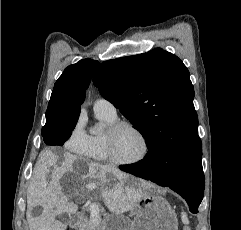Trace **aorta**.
I'll return each mask as SVG.
<instances>
[{
  "label": "aorta",
  "mask_w": 241,
  "mask_h": 230,
  "mask_svg": "<svg viewBox=\"0 0 241 230\" xmlns=\"http://www.w3.org/2000/svg\"><path fill=\"white\" fill-rule=\"evenodd\" d=\"M99 131H100V128H99V127H95L92 132L96 134V133H98Z\"/></svg>",
  "instance_id": "762f6f07"
}]
</instances>
